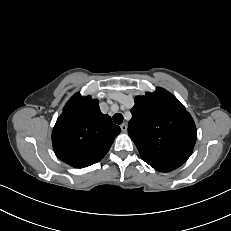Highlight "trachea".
Segmentation results:
<instances>
[{
  "mask_svg": "<svg viewBox=\"0 0 231 231\" xmlns=\"http://www.w3.org/2000/svg\"><path fill=\"white\" fill-rule=\"evenodd\" d=\"M112 118L116 124H121L123 122V115L121 113L114 114Z\"/></svg>",
  "mask_w": 231,
  "mask_h": 231,
  "instance_id": "trachea-1",
  "label": "trachea"
}]
</instances>
